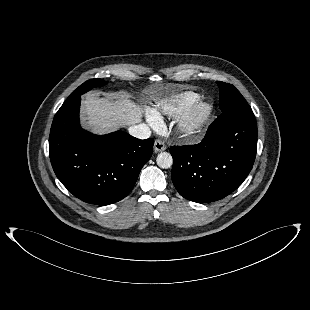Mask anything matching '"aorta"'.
<instances>
[{"label":"aorta","instance_id":"aorta-1","mask_svg":"<svg viewBox=\"0 0 310 310\" xmlns=\"http://www.w3.org/2000/svg\"><path fill=\"white\" fill-rule=\"evenodd\" d=\"M157 165L162 169H168L173 164V158L168 152H161L156 158Z\"/></svg>","mask_w":310,"mask_h":310}]
</instances>
